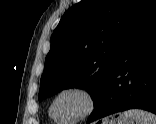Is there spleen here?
Wrapping results in <instances>:
<instances>
[{
    "label": "spleen",
    "mask_w": 156,
    "mask_h": 124,
    "mask_svg": "<svg viewBox=\"0 0 156 124\" xmlns=\"http://www.w3.org/2000/svg\"><path fill=\"white\" fill-rule=\"evenodd\" d=\"M123 116L132 119L136 124H156V115L139 109L124 111Z\"/></svg>",
    "instance_id": "3e777b00"
}]
</instances>
